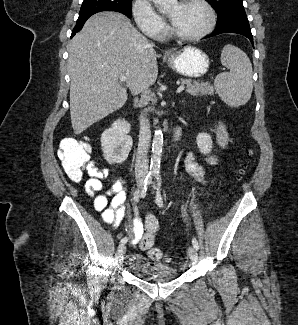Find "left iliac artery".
<instances>
[{"mask_svg": "<svg viewBox=\"0 0 298 325\" xmlns=\"http://www.w3.org/2000/svg\"><path fill=\"white\" fill-rule=\"evenodd\" d=\"M155 177H156V181H157V194H156V203L159 207H163V201H162V196L160 193V188L162 185V178H161V174L159 171H157L155 173ZM192 244L195 247L196 250L199 249V244L197 242V240L195 238L192 239Z\"/></svg>", "mask_w": 298, "mask_h": 325, "instance_id": "44dca946", "label": "left iliac artery"}]
</instances>
